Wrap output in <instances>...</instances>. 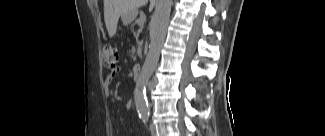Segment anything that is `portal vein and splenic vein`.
Instances as JSON below:
<instances>
[{
  "instance_id": "18ae733b",
  "label": "portal vein and splenic vein",
  "mask_w": 325,
  "mask_h": 136,
  "mask_svg": "<svg viewBox=\"0 0 325 136\" xmlns=\"http://www.w3.org/2000/svg\"><path fill=\"white\" fill-rule=\"evenodd\" d=\"M139 21H140V24L142 25V24L144 23V21H145V17H141V18L139 19Z\"/></svg>"
}]
</instances>
